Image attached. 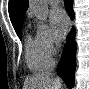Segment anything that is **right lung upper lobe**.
<instances>
[{"label": "right lung upper lobe", "mask_w": 89, "mask_h": 89, "mask_svg": "<svg viewBox=\"0 0 89 89\" xmlns=\"http://www.w3.org/2000/svg\"><path fill=\"white\" fill-rule=\"evenodd\" d=\"M27 8L28 0H9V16L15 31L22 25Z\"/></svg>", "instance_id": "1"}]
</instances>
